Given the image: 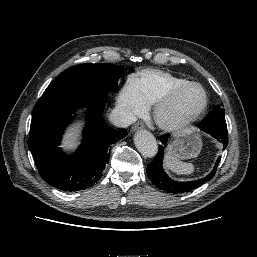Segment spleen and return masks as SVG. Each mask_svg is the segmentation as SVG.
<instances>
[{
  "label": "spleen",
  "instance_id": "spleen-1",
  "mask_svg": "<svg viewBox=\"0 0 257 257\" xmlns=\"http://www.w3.org/2000/svg\"><path fill=\"white\" fill-rule=\"evenodd\" d=\"M165 166L167 169L177 173L188 175L194 171V166L191 163L182 162L173 157L170 152L165 157Z\"/></svg>",
  "mask_w": 257,
  "mask_h": 257
}]
</instances>
